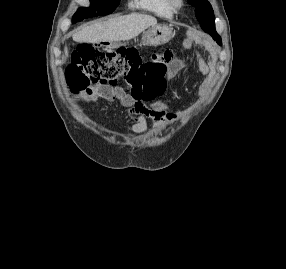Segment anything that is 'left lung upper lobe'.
Instances as JSON below:
<instances>
[{
	"instance_id": "left-lung-upper-lobe-1",
	"label": "left lung upper lobe",
	"mask_w": 286,
	"mask_h": 269,
	"mask_svg": "<svg viewBox=\"0 0 286 269\" xmlns=\"http://www.w3.org/2000/svg\"><path fill=\"white\" fill-rule=\"evenodd\" d=\"M195 8V14L202 29L221 44V38L215 30V17L211 4L207 0H188Z\"/></svg>"
}]
</instances>
